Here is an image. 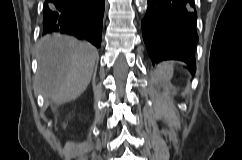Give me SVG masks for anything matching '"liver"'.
I'll use <instances>...</instances> for the list:
<instances>
[{"label": "liver", "instance_id": "6515ba94", "mask_svg": "<svg viewBox=\"0 0 242 160\" xmlns=\"http://www.w3.org/2000/svg\"><path fill=\"white\" fill-rule=\"evenodd\" d=\"M97 57L93 45L73 37L41 40L37 49V89L57 104L76 99L90 83Z\"/></svg>", "mask_w": 242, "mask_h": 160}]
</instances>
